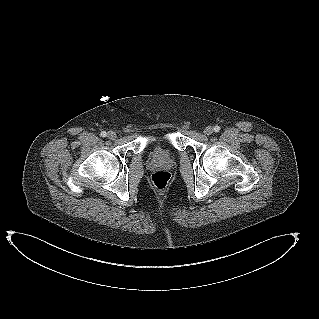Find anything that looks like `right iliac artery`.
I'll return each instance as SVG.
<instances>
[{"label":"right iliac artery","mask_w":319,"mask_h":319,"mask_svg":"<svg viewBox=\"0 0 319 319\" xmlns=\"http://www.w3.org/2000/svg\"><path fill=\"white\" fill-rule=\"evenodd\" d=\"M102 137H106L107 133L105 131L101 132L100 134Z\"/></svg>","instance_id":"obj_1"}]
</instances>
